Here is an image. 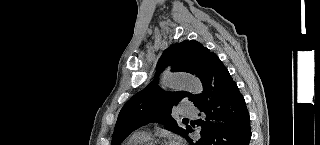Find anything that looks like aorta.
<instances>
[{"label":"aorta","mask_w":320,"mask_h":145,"mask_svg":"<svg viewBox=\"0 0 320 145\" xmlns=\"http://www.w3.org/2000/svg\"><path fill=\"white\" fill-rule=\"evenodd\" d=\"M164 87L171 89H186L194 94L201 93L203 90L201 81L191 75L182 73H166L161 80Z\"/></svg>","instance_id":"762f6f07"}]
</instances>
